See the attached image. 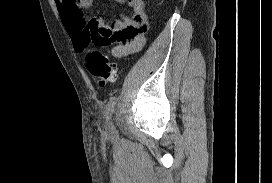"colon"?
Returning a JSON list of instances; mask_svg holds the SVG:
<instances>
[{
	"instance_id": "obj_1",
	"label": "colon",
	"mask_w": 272,
	"mask_h": 183,
	"mask_svg": "<svg viewBox=\"0 0 272 183\" xmlns=\"http://www.w3.org/2000/svg\"><path fill=\"white\" fill-rule=\"evenodd\" d=\"M105 44V41L95 43L97 46H103ZM84 64L100 87L113 83L118 76L117 66L100 50L94 49L88 51L85 56Z\"/></svg>"
}]
</instances>
